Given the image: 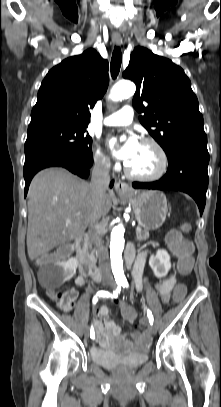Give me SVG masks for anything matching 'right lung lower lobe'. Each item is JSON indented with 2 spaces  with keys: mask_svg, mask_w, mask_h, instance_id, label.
<instances>
[{
  "mask_svg": "<svg viewBox=\"0 0 221 407\" xmlns=\"http://www.w3.org/2000/svg\"><path fill=\"white\" fill-rule=\"evenodd\" d=\"M93 161L86 162L76 158L70 152L64 151L56 147H38L26 154L25 164L23 169L25 179V196L33 176L40 170L47 167H64L72 173L87 178L90 173ZM114 181L110 186H113Z\"/></svg>",
  "mask_w": 221,
  "mask_h": 407,
  "instance_id": "98d812e1",
  "label": "right lung lower lobe"
}]
</instances>
